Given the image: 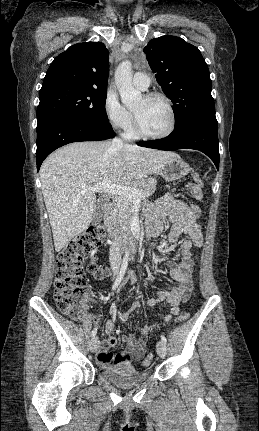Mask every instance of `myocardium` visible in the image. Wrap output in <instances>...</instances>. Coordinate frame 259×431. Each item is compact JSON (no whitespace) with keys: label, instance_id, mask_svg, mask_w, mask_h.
I'll return each instance as SVG.
<instances>
[{"label":"myocardium","instance_id":"1","mask_svg":"<svg viewBox=\"0 0 259 431\" xmlns=\"http://www.w3.org/2000/svg\"><path fill=\"white\" fill-rule=\"evenodd\" d=\"M146 100H150V99H161L167 106V109L169 111V116H170V122H169V126L168 128L159 134H150L145 132L138 119L137 116L133 113V129L136 133L137 136L144 138V139H150V140H159V139H164L168 136H170L173 131L175 130L176 127V114H175V110H174V106L172 104L171 99L160 92H150L147 93L143 96Z\"/></svg>","mask_w":259,"mask_h":431}]
</instances>
